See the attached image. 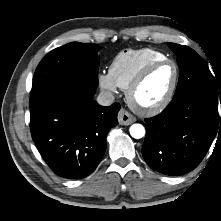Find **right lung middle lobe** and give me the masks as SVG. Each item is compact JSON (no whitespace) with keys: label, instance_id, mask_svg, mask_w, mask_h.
<instances>
[{"label":"right lung middle lobe","instance_id":"dd1d6c3e","mask_svg":"<svg viewBox=\"0 0 221 221\" xmlns=\"http://www.w3.org/2000/svg\"><path fill=\"white\" fill-rule=\"evenodd\" d=\"M99 46L72 42L51 51L38 65L30 96L32 103L47 88L67 79L98 85Z\"/></svg>","mask_w":221,"mask_h":221}]
</instances>
